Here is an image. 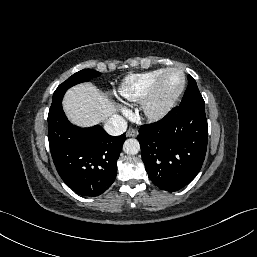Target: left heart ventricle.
<instances>
[{
    "label": "left heart ventricle",
    "mask_w": 257,
    "mask_h": 257,
    "mask_svg": "<svg viewBox=\"0 0 257 257\" xmlns=\"http://www.w3.org/2000/svg\"><path fill=\"white\" fill-rule=\"evenodd\" d=\"M182 75L178 72H172L167 75L162 86V97L168 98L174 95L181 87Z\"/></svg>",
    "instance_id": "b2bd125f"
}]
</instances>
